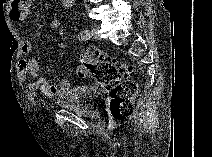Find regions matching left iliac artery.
I'll list each match as a JSON object with an SVG mask.
<instances>
[{"label":"left iliac artery","instance_id":"44dca946","mask_svg":"<svg viewBox=\"0 0 212 157\" xmlns=\"http://www.w3.org/2000/svg\"><path fill=\"white\" fill-rule=\"evenodd\" d=\"M78 37H79V40H82V41L89 39L90 38L89 30H87V29L86 30H82L79 33Z\"/></svg>","mask_w":212,"mask_h":157}]
</instances>
